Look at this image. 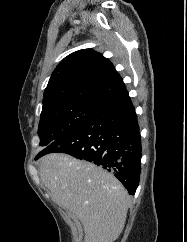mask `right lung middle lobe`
I'll use <instances>...</instances> for the list:
<instances>
[{
	"mask_svg": "<svg viewBox=\"0 0 187 242\" xmlns=\"http://www.w3.org/2000/svg\"><path fill=\"white\" fill-rule=\"evenodd\" d=\"M102 109L103 107L97 105L72 103L42 112L38 128L39 145L47 147L58 138L96 116Z\"/></svg>",
	"mask_w": 187,
	"mask_h": 242,
	"instance_id": "dd1d6c3e",
	"label": "right lung middle lobe"
}]
</instances>
